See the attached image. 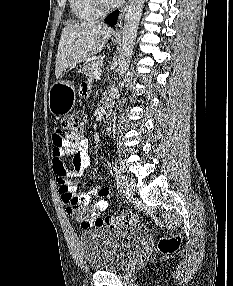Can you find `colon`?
Listing matches in <instances>:
<instances>
[{
  "mask_svg": "<svg viewBox=\"0 0 233 286\" xmlns=\"http://www.w3.org/2000/svg\"><path fill=\"white\" fill-rule=\"evenodd\" d=\"M85 116L82 112H75L65 116L57 132L61 136H82ZM67 210L76 216L86 226L96 228H120L134 224L137 216L132 212H124L118 216L108 215L106 217L97 216L96 210L91 206H83L78 197L67 198ZM179 244L176 236L164 238L160 243L163 252L173 251Z\"/></svg>",
  "mask_w": 233,
  "mask_h": 286,
  "instance_id": "1",
  "label": "colon"
}]
</instances>
